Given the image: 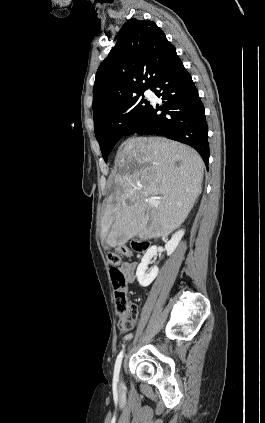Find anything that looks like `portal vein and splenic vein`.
Listing matches in <instances>:
<instances>
[{
  "label": "portal vein and splenic vein",
  "instance_id": "1",
  "mask_svg": "<svg viewBox=\"0 0 265 423\" xmlns=\"http://www.w3.org/2000/svg\"><path fill=\"white\" fill-rule=\"evenodd\" d=\"M146 201H147L150 205H154V206H157V205L161 204V201H160V200H157V198H155V197H148V198L146 199Z\"/></svg>",
  "mask_w": 265,
  "mask_h": 423
}]
</instances>
